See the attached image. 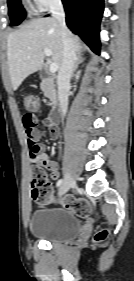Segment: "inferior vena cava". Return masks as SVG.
Masks as SVG:
<instances>
[{
    "mask_svg": "<svg viewBox=\"0 0 134 281\" xmlns=\"http://www.w3.org/2000/svg\"><path fill=\"white\" fill-rule=\"evenodd\" d=\"M51 12L54 19L57 20L62 35L63 42V58L58 71V98L59 107L63 116L66 115L68 109V90L70 88V79L74 72L76 63V50L70 32L65 23V11L61 0H53L51 4Z\"/></svg>",
    "mask_w": 134,
    "mask_h": 281,
    "instance_id": "obj_1",
    "label": "inferior vena cava"
}]
</instances>
